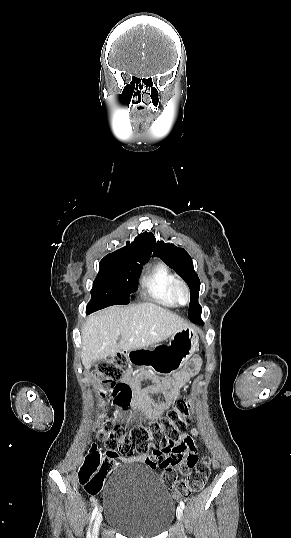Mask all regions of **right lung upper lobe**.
<instances>
[{"instance_id":"right-lung-upper-lobe-1","label":"right lung upper lobe","mask_w":291,"mask_h":538,"mask_svg":"<svg viewBox=\"0 0 291 538\" xmlns=\"http://www.w3.org/2000/svg\"><path fill=\"white\" fill-rule=\"evenodd\" d=\"M153 252V244L151 234L144 232L139 235L134 242H128L127 245L113 253L108 254L104 258H128L132 260L146 259Z\"/></svg>"}]
</instances>
